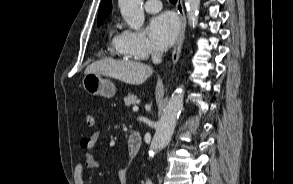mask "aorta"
Masks as SVG:
<instances>
[{
	"label": "aorta",
	"mask_w": 293,
	"mask_h": 184,
	"mask_svg": "<svg viewBox=\"0 0 293 184\" xmlns=\"http://www.w3.org/2000/svg\"><path fill=\"white\" fill-rule=\"evenodd\" d=\"M122 17L131 29L139 31L145 21L142 0H118ZM200 0H186V9L190 26L195 27L198 21ZM184 90L177 89L170 97L164 112L157 123L156 131L149 148V157L163 149L170 142L176 121L183 107ZM146 184H152L146 179Z\"/></svg>",
	"instance_id": "aorta-1"
}]
</instances>
